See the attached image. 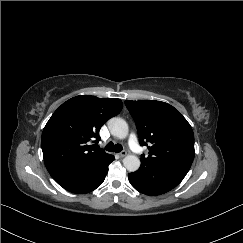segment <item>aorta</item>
I'll list each match as a JSON object with an SVG mask.
<instances>
[{"label": "aorta", "instance_id": "762f6f07", "mask_svg": "<svg viewBox=\"0 0 243 243\" xmlns=\"http://www.w3.org/2000/svg\"><path fill=\"white\" fill-rule=\"evenodd\" d=\"M107 125L111 134L119 139H124L128 135V125L122 118L113 117ZM123 165L129 172H135L140 167V159L135 155H127L123 160Z\"/></svg>", "mask_w": 243, "mask_h": 243}]
</instances>
